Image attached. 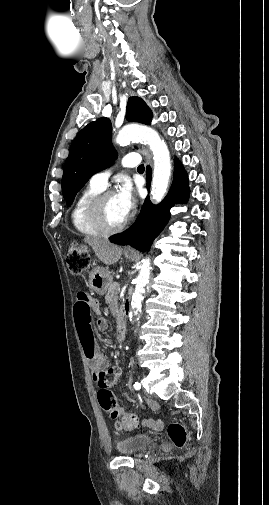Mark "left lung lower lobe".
Instances as JSON below:
<instances>
[{"mask_svg": "<svg viewBox=\"0 0 269 505\" xmlns=\"http://www.w3.org/2000/svg\"><path fill=\"white\" fill-rule=\"evenodd\" d=\"M147 187H150L151 168L146 171ZM189 185L187 174L179 161H175L174 179L168 195L158 205H152L149 197L141 209L136 222L123 233L110 241L119 245H130L142 252L148 251L153 240L160 234L170 218V208L188 199Z\"/></svg>", "mask_w": 269, "mask_h": 505, "instance_id": "left-lung-lower-lobe-1", "label": "left lung lower lobe"}]
</instances>
